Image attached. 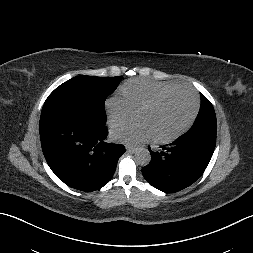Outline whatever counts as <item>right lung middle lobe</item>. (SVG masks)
<instances>
[{
    "instance_id": "1",
    "label": "right lung middle lobe",
    "mask_w": 253,
    "mask_h": 253,
    "mask_svg": "<svg viewBox=\"0 0 253 253\" xmlns=\"http://www.w3.org/2000/svg\"><path fill=\"white\" fill-rule=\"evenodd\" d=\"M116 77L77 76L57 87L46 99L41 115L67 112L105 125L104 102L121 81Z\"/></svg>"
}]
</instances>
